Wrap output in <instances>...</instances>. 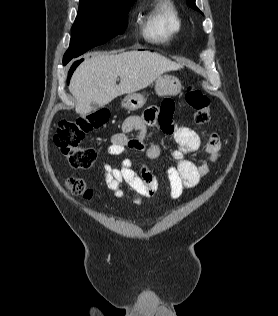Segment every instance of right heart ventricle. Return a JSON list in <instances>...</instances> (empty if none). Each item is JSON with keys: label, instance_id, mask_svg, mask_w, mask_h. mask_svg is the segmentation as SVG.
I'll return each instance as SVG.
<instances>
[{"label": "right heart ventricle", "instance_id": "obj_1", "mask_svg": "<svg viewBox=\"0 0 278 316\" xmlns=\"http://www.w3.org/2000/svg\"><path fill=\"white\" fill-rule=\"evenodd\" d=\"M144 39L153 44H169L183 31V21L172 0H154L141 14Z\"/></svg>", "mask_w": 278, "mask_h": 316}]
</instances>
